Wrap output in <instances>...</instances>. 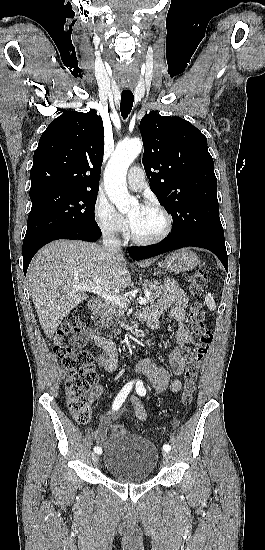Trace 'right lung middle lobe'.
Returning <instances> with one entry per match:
<instances>
[{
	"label": "right lung middle lobe",
	"instance_id": "obj_1",
	"mask_svg": "<svg viewBox=\"0 0 265 550\" xmlns=\"http://www.w3.org/2000/svg\"><path fill=\"white\" fill-rule=\"evenodd\" d=\"M32 201L23 242L67 226L98 227L94 219L97 192L59 188L30 190Z\"/></svg>",
	"mask_w": 265,
	"mask_h": 550
}]
</instances>
